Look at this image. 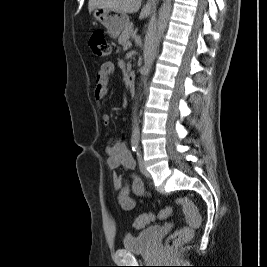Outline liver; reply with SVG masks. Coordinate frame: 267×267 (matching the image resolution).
<instances>
[{
  "instance_id": "6515ba94",
  "label": "liver",
  "mask_w": 267,
  "mask_h": 267,
  "mask_svg": "<svg viewBox=\"0 0 267 267\" xmlns=\"http://www.w3.org/2000/svg\"><path fill=\"white\" fill-rule=\"evenodd\" d=\"M142 0H89L88 9L92 12L95 8H107L123 14L137 13L141 7ZM150 13V5L146 4L140 13L139 18L144 19Z\"/></svg>"
}]
</instances>
